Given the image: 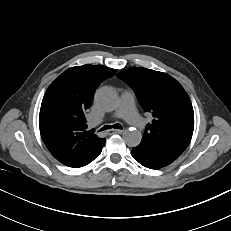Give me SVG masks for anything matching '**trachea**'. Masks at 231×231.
I'll return each mask as SVG.
<instances>
[{
  "instance_id": "obj_1",
  "label": "trachea",
  "mask_w": 231,
  "mask_h": 231,
  "mask_svg": "<svg viewBox=\"0 0 231 231\" xmlns=\"http://www.w3.org/2000/svg\"><path fill=\"white\" fill-rule=\"evenodd\" d=\"M111 128L122 129V126L120 124H118V123L114 124V125H105L99 131H104V130H108V129H111Z\"/></svg>"
}]
</instances>
